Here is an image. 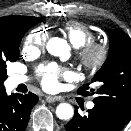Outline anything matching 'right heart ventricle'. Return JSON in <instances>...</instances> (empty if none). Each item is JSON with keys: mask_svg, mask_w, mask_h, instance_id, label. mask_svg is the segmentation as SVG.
Listing matches in <instances>:
<instances>
[{"mask_svg": "<svg viewBox=\"0 0 131 131\" xmlns=\"http://www.w3.org/2000/svg\"><path fill=\"white\" fill-rule=\"evenodd\" d=\"M63 32L75 48H81L96 38L94 31L89 26L78 21L66 22Z\"/></svg>", "mask_w": 131, "mask_h": 131, "instance_id": "right-heart-ventricle-1", "label": "right heart ventricle"}]
</instances>
